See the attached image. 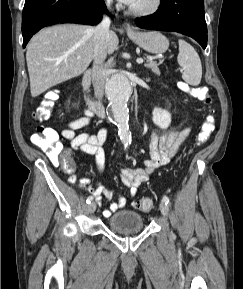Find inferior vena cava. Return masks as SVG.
I'll return each mask as SVG.
<instances>
[{"label": "inferior vena cava", "mask_w": 243, "mask_h": 289, "mask_svg": "<svg viewBox=\"0 0 243 289\" xmlns=\"http://www.w3.org/2000/svg\"><path fill=\"white\" fill-rule=\"evenodd\" d=\"M110 0H107L109 6ZM110 19L104 16L102 21L94 28V64L92 68V82L95 97L102 99L106 69L103 61L106 59V47L109 38Z\"/></svg>", "instance_id": "602c4592"}]
</instances>
